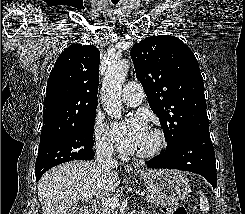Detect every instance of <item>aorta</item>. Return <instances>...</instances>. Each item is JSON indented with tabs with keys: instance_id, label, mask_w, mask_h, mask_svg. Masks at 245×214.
Listing matches in <instances>:
<instances>
[{
	"instance_id": "1",
	"label": "aorta",
	"mask_w": 245,
	"mask_h": 214,
	"mask_svg": "<svg viewBox=\"0 0 245 214\" xmlns=\"http://www.w3.org/2000/svg\"><path fill=\"white\" fill-rule=\"evenodd\" d=\"M130 63L127 60L115 61L110 64L105 73L101 102L104 111L113 118L122 117L121 90L126 80Z\"/></svg>"
}]
</instances>
